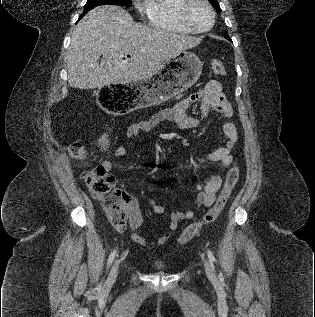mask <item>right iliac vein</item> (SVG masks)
<instances>
[{"label": "right iliac vein", "mask_w": 315, "mask_h": 317, "mask_svg": "<svg viewBox=\"0 0 315 317\" xmlns=\"http://www.w3.org/2000/svg\"><path fill=\"white\" fill-rule=\"evenodd\" d=\"M118 269H119V261L116 260L111 268L110 274L107 279V284H112L113 282H115L118 275Z\"/></svg>", "instance_id": "1"}]
</instances>
